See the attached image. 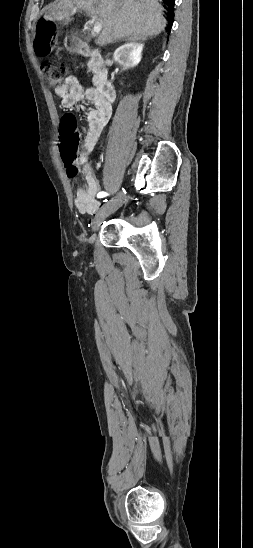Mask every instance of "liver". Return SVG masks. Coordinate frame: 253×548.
Segmentation results:
<instances>
[{
  "mask_svg": "<svg viewBox=\"0 0 253 548\" xmlns=\"http://www.w3.org/2000/svg\"><path fill=\"white\" fill-rule=\"evenodd\" d=\"M73 9L100 18L101 33L95 41L99 46L124 38L146 40L159 35L167 23L157 0H58L50 5L44 20L67 25L73 20Z\"/></svg>",
  "mask_w": 253,
  "mask_h": 548,
  "instance_id": "6515ba94",
  "label": "liver"
}]
</instances>
